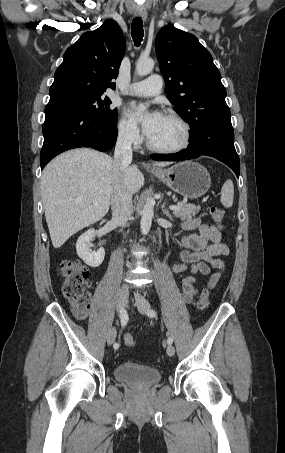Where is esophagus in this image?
<instances>
[{
	"label": "esophagus",
	"instance_id": "34e87169",
	"mask_svg": "<svg viewBox=\"0 0 285 453\" xmlns=\"http://www.w3.org/2000/svg\"><path fill=\"white\" fill-rule=\"evenodd\" d=\"M135 15L141 17L145 21L147 19V11L145 7H136Z\"/></svg>",
	"mask_w": 285,
	"mask_h": 453
}]
</instances>
